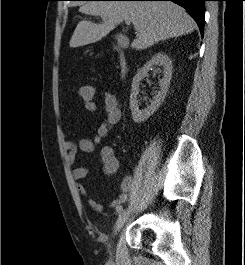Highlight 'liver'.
<instances>
[{
  "mask_svg": "<svg viewBox=\"0 0 245 265\" xmlns=\"http://www.w3.org/2000/svg\"><path fill=\"white\" fill-rule=\"evenodd\" d=\"M79 11L100 16L103 22L80 21L70 40L71 48L100 41L126 20L131 21L136 30V39L131 44L136 50L191 33L196 28V23L185 9L169 1H91L83 4Z\"/></svg>",
  "mask_w": 245,
  "mask_h": 265,
  "instance_id": "obj_1",
  "label": "liver"
}]
</instances>
